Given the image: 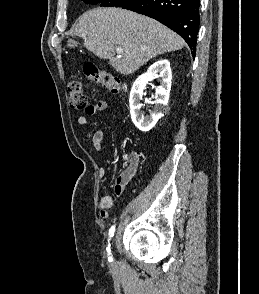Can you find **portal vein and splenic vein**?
<instances>
[{
	"mask_svg": "<svg viewBox=\"0 0 259 294\" xmlns=\"http://www.w3.org/2000/svg\"><path fill=\"white\" fill-rule=\"evenodd\" d=\"M115 50H116V52H122L123 51L122 47H116Z\"/></svg>",
	"mask_w": 259,
	"mask_h": 294,
	"instance_id": "portal-vein-and-splenic-vein-1",
	"label": "portal vein and splenic vein"
}]
</instances>
